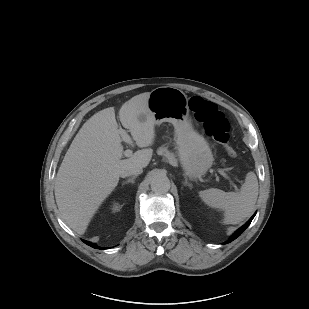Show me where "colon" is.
<instances>
[{"label":"colon","instance_id":"5ec220e1","mask_svg":"<svg viewBox=\"0 0 309 309\" xmlns=\"http://www.w3.org/2000/svg\"><path fill=\"white\" fill-rule=\"evenodd\" d=\"M189 108L205 132L222 144L230 157H235L237 152L229 141V124L218 106L200 96H193Z\"/></svg>","mask_w":309,"mask_h":309}]
</instances>
